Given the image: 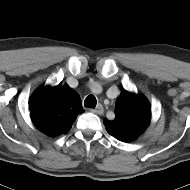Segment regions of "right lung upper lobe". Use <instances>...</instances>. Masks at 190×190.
<instances>
[{"label":"right lung upper lobe","instance_id":"obj_1","mask_svg":"<svg viewBox=\"0 0 190 190\" xmlns=\"http://www.w3.org/2000/svg\"><path fill=\"white\" fill-rule=\"evenodd\" d=\"M29 110L35 126L51 136L67 133L84 112L80 96L67 84L38 88L30 98Z\"/></svg>","mask_w":190,"mask_h":190}]
</instances>
